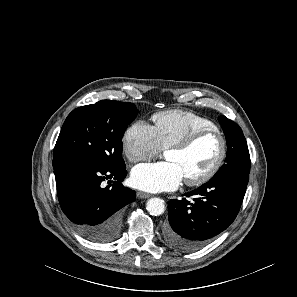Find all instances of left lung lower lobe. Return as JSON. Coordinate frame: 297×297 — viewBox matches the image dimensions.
<instances>
[{
    "instance_id": "obj_1",
    "label": "left lung lower lobe",
    "mask_w": 297,
    "mask_h": 297,
    "mask_svg": "<svg viewBox=\"0 0 297 297\" xmlns=\"http://www.w3.org/2000/svg\"><path fill=\"white\" fill-rule=\"evenodd\" d=\"M249 176L213 177L199 188L173 199L168 205L169 222L164 239L173 248L194 251L209 243L236 218Z\"/></svg>"
}]
</instances>
